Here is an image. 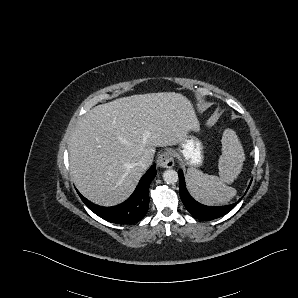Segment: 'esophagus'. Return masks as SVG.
I'll return each mask as SVG.
<instances>
[{"instance_id":"1","label":"esophagus","mask_w":298,"mask_h":298,"mask_svg":"<svg viewBox=\"0 0 298 298\" xmlns=\"http://www.w3.org/2000/svg\"><path fill=\"white\" fill-rule=\"evenodd\" d=\"M157 164L161 168H172L174 166V157L171 151L162 152L157 158Z\"/></svg>"}]
</instances>
